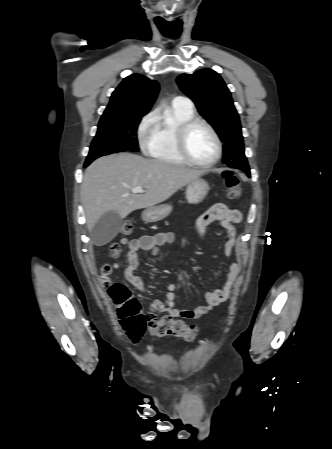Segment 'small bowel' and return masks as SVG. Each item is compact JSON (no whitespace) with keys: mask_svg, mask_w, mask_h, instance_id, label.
<instances>
[{"mask_svg":"<svg viewBox=\"0 0 332 449\" xmlns=\"http://www.w3.org/2000/svg\"><path fill=\"white\" fill-rule=\"evenodd\" d=\"M242 221V213L238 209L229 208L224 203H216L202 213L196 222L197 234L202 237L206 228L214 222H218L225 230L227 240L224 245V254L231 258L236 246L237 224ZM175 240L172 233H157L155 235L142 236L136 239H121L122 244L127 245V267L124 271L126 280L137 290L145 292L143 280L135 275L139 267L138 252L140 250L150 251L153 257L157 256L161 246L171 244ZM119 269L117 263H106L101 268L100 280L103 285L111 283V274ZM241 266L236 261H231L226 279L222 287L205 293V303L192 310L176 309L174 307L176 283L167 285L168 292L164 300L152 301L149 310V318H156L159 314L169 313L174 317L185 319H198L208 314L213 308L228 299L232 287L240 273Z\"/></svg>","mask_w":332,"mask_h":449,"instance_id":"obj_1","label":"small bowel"}]
</instances>
